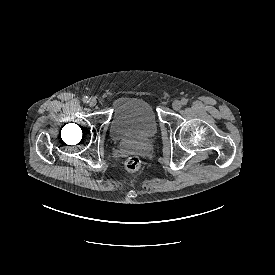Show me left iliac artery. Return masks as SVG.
Here are the masks:
<instances>
[{
  "label": "left iliac artery",
  "mask_w": 275,
  "mask_h": 275,
  "mask_svg": "<svg viewBox=\"0 0 275 275\" xmlns=\"http://www.w3.org/2000/svg\"><path fill=\"white\" fill-rule=\"evenodd\" d=\"M181 103H182V105H186L188 103V99L182 98Z\"/></svg>",
  "instance_id": "1"
}]
</instances>
